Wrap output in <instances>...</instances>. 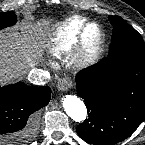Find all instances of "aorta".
<instances>
[{
	"instance_id": "1",
	"label": "aorta",
	"mask_w": 145,
	"mask_h": 145,
	"mask_svg": "<svg viewBox=\"0 0 145 145\" xmlns=\"http://www.w3.org/2000/svg\"><path fill=\"white\" fill-rule=\"evenodd\" d=\"M66 114L76 122H83L87 117V109L84 102L75 95H67L63 101Z\"/></svg>"
}]
</instances>
